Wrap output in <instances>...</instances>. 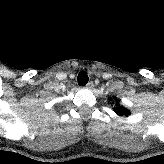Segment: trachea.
Masks as SVG:
<instances>
[{
	"label": "trachea",
	"mask_w": 164,
	"mask_h": 164,
	"mask_svg": "<svg viewBox=\"0 0 164 164\" xmlns=\"http://www.w3.org/2000/svg\"><path fill=\"white\" fill-rule=\"evenodd\" d=\"M77 80H78V84L80 86H85L88 83V80H89L87 73L85 71H81L78 74Z\"/></svg>",
	"instance_id": "obj_1"
}]
</instances>
